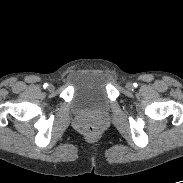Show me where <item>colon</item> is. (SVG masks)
I'll return each instance as SVG.
<instances>
[{
	"mask_svg": "<svg viewBox=\"0 0 183 183\" xmlns=\"http://www.w3.org/2000/svg\"><path fill=\"white\" fill-rule=\"evenodd\" d=\"M82 128L85 134H87L88 136H94L98 132L97 124L93 120L85 121Z\"/></svg>",
	"mask_w": 183,
	"mask_h": 183,
	"instance_id": "colon-1",
	"label": "colon"
}]
</instances>
